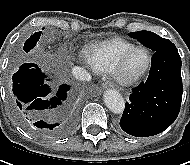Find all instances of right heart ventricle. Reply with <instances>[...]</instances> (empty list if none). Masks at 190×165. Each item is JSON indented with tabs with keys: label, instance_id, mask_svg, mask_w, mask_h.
Returning <instances> with one entry per match:
<instances>
[{
	"label": "right heart ventricle",
	"instance_id": "1",
	"mask_svg": "<svg viewBox=\"0 0 190 165\" xmlns=\"http://www.w3.org/2000/svg\"><path fill=\"white\" fill-rule=\"evenodd\" d=\"M135 43L123 38H113L92 45L86 52V60L91 69L98 74L113 73L120 57Z\"/></svg>",
	"mask_w": 190,
	"mask_h": 165
}]
</instances>
